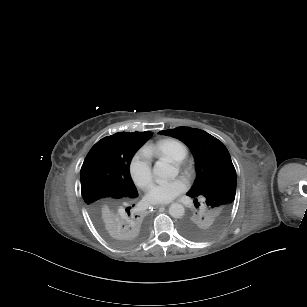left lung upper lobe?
I'll use <instances>...</instances> for the list:
<instances>
[{
    "mask_svg": "<svg viewBox=\"0 0 307 307\" xmlns=\"http://www.w3.org/2000/svg\"><path fill=\"white\" fill-rule=\"evenodd\" d=\"M160 134L173 136L192 151L196 165V180L187 193L194 199V210L180 224V231L192 240H205L224 226L235 199L236 171L224 144L207 132L190 127L163 130Z\"/></svg>",
    "mask_w": 307,
    "mask_h": 307,
    "instance_id": "left-lung-upper-lobe-1",
    "label": "left lung upper lobe"
}]
</instances>
